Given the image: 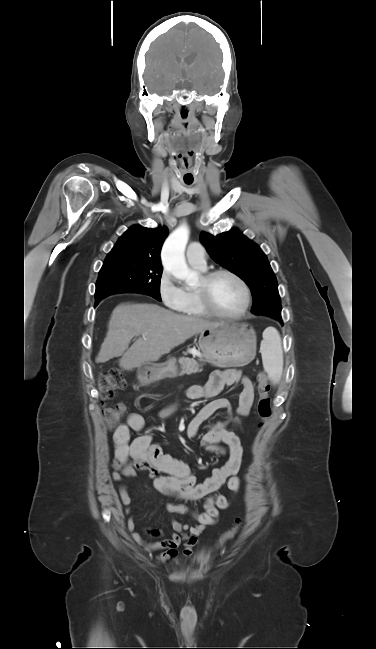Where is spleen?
Wrapping results in <instances>:
<instances>
[{
    "label": "spleen",
    "mask_w": 376,
    "mask_h": 649,
    "mask_svg": "<svg viewBox=\"0 0 376 649\" xmlns=\"http://www.w3.org/2000/svg\"><path fill=\"white\" fill-rule=\"evenodd\" d=\"M264 370L273 384H278L283 372V351L281 338L275 328H268L263 333L260 346Z\"/></svg>",
    "instance_id": "obj_1"
}]
</instances>
